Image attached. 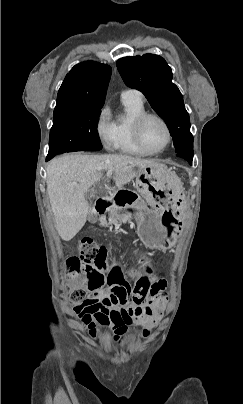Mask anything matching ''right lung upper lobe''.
I'll return each mask as SVG.
<instances>
[{"label": "right lung upper lobe", "instance_id": "obj_1", "mask_svg": "<svg viewBox=\"0 0 243 404\" xmlns=\"http://www.w3.org/2000/svg\"><path fill=\"white\" fill-rule=\"evenodd\" d=\"M111 72L110 66L93 61L75 65L58 91L55 108L102 107Z\"/></svg>", "mask_w": 243, "mask_h": 404}]
</instances>
